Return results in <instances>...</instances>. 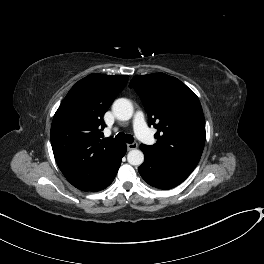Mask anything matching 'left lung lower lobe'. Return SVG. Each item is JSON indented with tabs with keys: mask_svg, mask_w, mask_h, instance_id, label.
<instances>
[{
	"mask_svg": "<svg viewBox=\"0 0 264 264\" xmlns=\"http://www.w3.org/2000/svg\"><path fill=\"white\" fill-rule=\"evenodd\" d=\"M140 149L145 155V161L138 168V171L142 178L155 188L171 189L176 187L193 171L183 166L163 162L141 145Z\"/></svg>",
	"mask_w": 264,
	"mask_h": 264,
	"instance_id": "0a47b994",
	"label": "left lung lower lobe"
}]
</instances>
